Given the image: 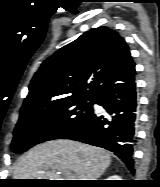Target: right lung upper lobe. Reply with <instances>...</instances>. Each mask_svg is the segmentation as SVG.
<instances>
[{"mask_svg":"<svg viewBox=\"0 0 160 187\" xmlns=\"http://www.w3.org/2000/svg\"><path fill=\"white\" fill-rule=\"evenodd\" d=\"M133 63L125 40L116 31L101 26L85 32L42 63L21 112L94 98Z\"/></svg>","mask_w":160,"mask_h":187,"instance_id":"obj_1","label":"right lung upper lobe"}]
</instances>
